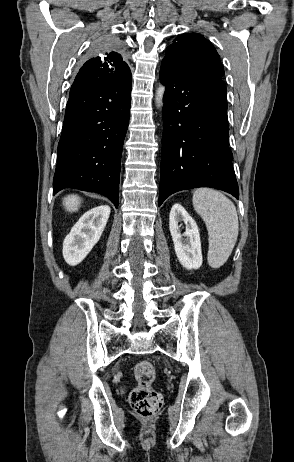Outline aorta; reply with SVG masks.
<instances>
[{
  "mask_svg": "<svg viewBox=\"0 0 294 462\" xmlns=\"http://www.w3.org/2000/svg\"><path fill=\"white\" fill-rule=\"evenodd\" d=\"M164 92H165V87L163 85H160L156 91V104L158 107H161L163 105Z\"/></svg>",
  "mask_w": 294,
  "mask_h": 462,
  "instance_id": "obj_1",
  "label": "aorta"
}]
</instances>
